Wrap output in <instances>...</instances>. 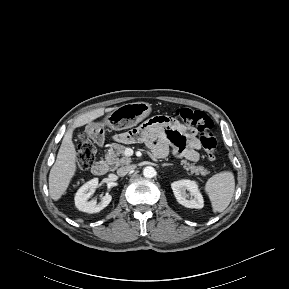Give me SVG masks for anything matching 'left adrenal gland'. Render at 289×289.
<instances>
[{
  "mask_svg": "<svg viewBox=\"0 0 289 289\" xmlns=\"http://www.w3.org/2000/svg\"><path fill=\"white\" fill-rule=\"evenodd\" d=\"M169 165H173V164H171V163H164V164H162L163 167H164V166H169Z\"/></svg>",
  "mask_w": 289,
  "mask_h": 289,
  "instance_id": "1",
  "label": "left adrenal gland"
}]
</instances>
